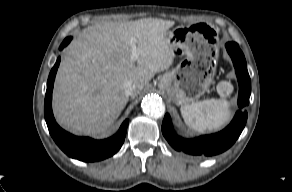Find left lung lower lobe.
Wrapping results in <instances>:
<instances>
[{"mask_svg": "<svg viewBox=\"0 0 292 192\" xmlns=\"http://www.w3.org/2000/svg\"><path fill=\"white\" fill-rule=\"evenodd\" d=\"M227 51L233 60L239 82L238 105L240 108L248 105L251 93V81L247 71L245 57L235 42L226 44ZM247 120V112L237 111L229 126L219 133L201 136L195 139H183L173 132L170 116L165 115L162 123V133L169 144L177 151L194 156H212L230 148L241 134Z\"/></svg>", "mask_w": 292, "mask_h": 192, "instance_id": "0a47b994", "label": "left lung lower lobe"}]
</instances>
